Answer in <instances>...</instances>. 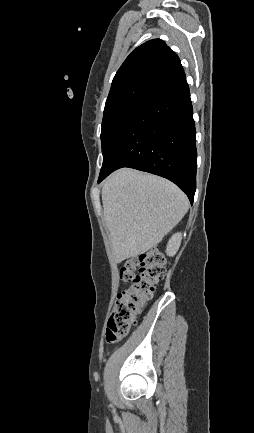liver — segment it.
Segmentation results:
<instances>
[{"label": "liver", "instance_id": "obj_1", "mask_svg": "<svg viewBox=\"0 0 254 433\" xmlns=\"http://www.w3.org/2000/svg\"><path fill=\"white\" fill-rule=\"evenodd\" d=\"M102 202L117 263L155 247L189 208L172 182L132 169L118 170L104 182Z\"/></svg>", "mask_w": 254, "mask_h": 433}]
</instances>
